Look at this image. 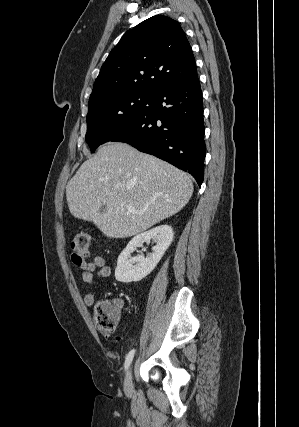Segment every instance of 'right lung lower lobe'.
<instances>
[{"label": "right lung lower lobe", "instance_id": "obj_1", "mask_svg": "<svg viewBox=\"0 0 299 427\" xmlns=\"http://www.w3.org/2000/svg\"><path fill=\"white\" fill-rule=\"evenodd\" d=\"M204 131L202 92L196 75L158 89L148 110L110 141L128 143L188 171L200 186L206 152Z\"/></svg>", "mask_w": 299, "mask_h": 427}]
</instances>
